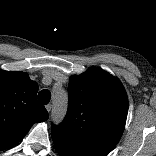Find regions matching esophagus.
Masks as SVG:
<instances>
[{"label": "esophagus", "instance_id": "obj_1", "mask_svg": "<svg viewBox=\"0 0 156 156\" xmlns=\"http://www.w3.org/2000/svg\"><path fill=\"white\" fill-rule=\"evenodd\" d=\"M45 108H46V110L48 111V113L51 111V109H52V105L51 104H47L46 106H45Z\"/></svg>", "mask_w": 156, "mask_h": 156}]
</instances>
